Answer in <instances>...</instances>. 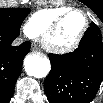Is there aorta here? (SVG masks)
<instances>
[{
	"mask_svg": "<svg viewBox=\"0 0 103 103\" xmlns=\"http://www.w3.org/2000/svg\"><path fill=\"white\" fill-rule=\"evenodd\" d=\"M24 68L29 76L43 78L48 75L51 64L48 58H42L39 55H28L24 59Z\"/></svg>",
	"mask_w": 103,
	"mask_h": 103,
	"instance_id": "aorta-1",
	"label": "aorta"
}]
</instances>
